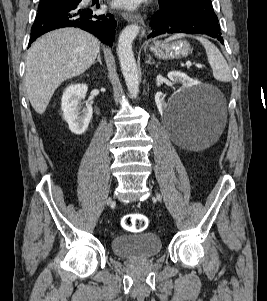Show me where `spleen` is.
I'll return each instance as SVG.
<instances>
[{
  "label": "spleen",
  "mask_w": 267,
  "mask_h": 301,
  "mask_svg": "<svg viewBox=\"0 0 267 301\" xmlns=\"http://www.w3.org/2000/svg\"><path fill=\"white\" fill-rule=\"evenodd\" d=\"M185 35L180 33L173 35L167 39V41H171L174 39H179L184 37ZM205 48L208 62L213 70V76L216 80L221 82H229L231 81V71L227 64V61L219 51V49L211 43L209 40L203 37H195Z\"/></svg>",
  "instance_id": "1"
}]
</instances>
